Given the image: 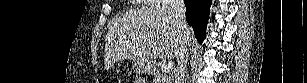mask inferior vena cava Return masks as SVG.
I'll return each instance as SVG.
<instances>
[{
	"label": "inferior vena cava",
	"instance_id": "inferior-vena-cava-1",
	"mask_svg": "<svg viewBox=\"0 0 307 83\" xmlns=\"http://www.w3.org/2000/svg\"><path fill=\"white\" fill-rule=\"evenodd\" d=\"M170 6L173 11L174 17L176 18L179 35H180V45L178 52L176 54V59L178 62L176 81L175 83H184L185 68L188 60V49H187V36L186 28L187 23L185 20V4L184 0H170Z\"/></svg>",
	"mask_w": 307,
	"mask_h": 83
}]
</instances>
